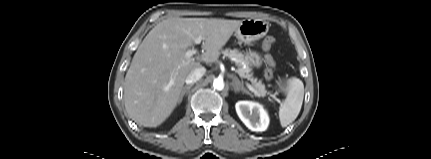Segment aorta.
<instances>
[{
  "label": "aorta",
  "mask_w": 431,
  "mask_h": 159,
  "mask_svg": "<svg viewBox=\"0 0 431 159\" xmlns=\"http://www.w3.org/2000/svg\"><path fill=\"white\" fill-rule=\"evenodd\" d=\"M213 87L216 90H223L224 89V81L221 78H216L213 81Z\"/></svg>",
  "instance_id": "762f6f07"
}]
</instances>
